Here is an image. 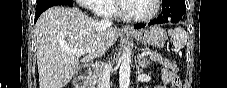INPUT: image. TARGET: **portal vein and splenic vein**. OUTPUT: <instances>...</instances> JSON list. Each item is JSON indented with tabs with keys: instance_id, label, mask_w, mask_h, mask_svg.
Listing matches in <instances>:
<instances>
[{
	"instance_id": "portal-vein-and-splenic-vein-1",
	"label": "portal vein and splenic vein",
	"mask_w": 227,
	"mask_h": 88,
	"mask_svg": "<svg viewBox=\"0 0 227 88\" xmlns=\"http://www.w3.org/2000/svg\"><path fill=\"white\" fill-rule=\"evenodd\" d=\"M66 51H68L71 54H74L75 56H81V55H85L86 53L90 52L89 48H85V49H65ZM142 56H153L156 55L155 53L151 52V51H143Z\"/></svg>"
}]
</instances>
